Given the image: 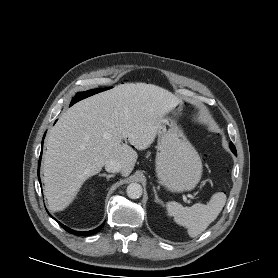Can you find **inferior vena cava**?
<instances>
[{"label":"inferior vena cava","instance_id":"1","mask_svg":"<svg viewBox=\"0 0 278 278\" xmlns=\"http://www.w3.org/2000/svg\"><path fill=\"white\" fill-rule=\"evenodd\" d=\"M105 170L107 172L117 173L122 170V165L117 161L111 160V161L106 162Z\"/></svg>","mask_w":278,"mask_h":278}]
</instances>
